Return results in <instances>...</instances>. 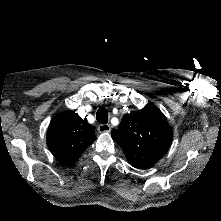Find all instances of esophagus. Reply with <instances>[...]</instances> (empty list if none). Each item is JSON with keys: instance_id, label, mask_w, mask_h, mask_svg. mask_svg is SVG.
I'll list each match as a JSON object with an SVG mask.
<instances>
[{"instance_id": "34e87169", "label": "esophagus", "mask_w": 221, "mask_h": 221, "mask_svg": "<svg viewBox=\"0 0 221 221\" xmlns=\"http://www.w3.org/2000/svg\"><path fill=\"white\" fill-rule=\"evenodd\" d=\"M111 131V127L109 124H100L98 126V132L103 134V133H109Z\"/></svg>"}]
</instances>
